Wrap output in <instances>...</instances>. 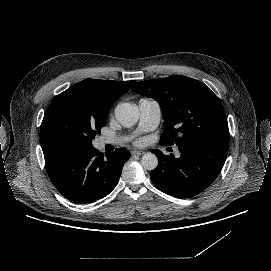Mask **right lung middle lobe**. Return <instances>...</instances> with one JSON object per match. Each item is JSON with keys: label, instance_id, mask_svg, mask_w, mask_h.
I'll return each instance as SVG.
<instances>
[{"label": "right lung middle lobe", "instance_id": "obj_1", "mask_svg": "<svg viewBox=\"0 0 271 271\" xmlns=\"http://www.w3.org/2000/svg\"><path fill=\"white\" fill-rule=\"evenodd\" d=\"M107 118H99L85 110L70 94L57 95L45 111L40 128L43 153L61 147H91L92 140L105 126Z\"/></svg>", "mask_w": 271, "mask_h": 271}]
</instances>
